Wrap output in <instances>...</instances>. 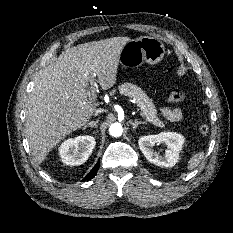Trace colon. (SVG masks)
Wrapping results in <instances>:
<instances>
[{
  "mask_svg": "<svg viewBox=\"0 0 233 233\" xmlns=\"http://www.w3.org/2000/svg\"><path fill=\"white\" fill-rule=\"evenodd\" d=\"M166 71H170L171 67L170 66H165ZM168 101L170 103L174 104H183L187 105L188 104V97L187 95L179 90V89H172L168 93ZM198 131L202 135H208L210 133V126L207 121V119H203L200 121L198 125Z\"/></svg>",
  "mask_w": 233,
  "mask_h": 233,
  "instance_id": "obj_1",
  "label": "colon"
}]
</instances>
